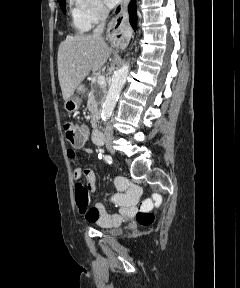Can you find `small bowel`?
Here are the masks:
<instances>
[{"mask_svg": "<svg viewBox=\"0 0 240 288\" xmlns=\"http://www.w3.org/2000/svg\"><path fill=\"white\" fill-rule=\"evenodd\" d=\"M86 139L79 144L73 145V148L68 149L67 156L71 163L76 161V150H84L86 153H92V150L85 149L84 144L88 137L86 128ZM85 177L87 184L77 183L75 185V200L79 213L84 220L89 223H96L102 227L119 226L124 218L131 217L136 210V205L139 198V192L136 187L131 185L127 180L118 178L115 180V186L118 190L112 197V201L119 207L118 214H109L101 203H96L90 206L89 194L96 189V176L91 169H82L75 167L73 170V178L75 180Z\"/></svg>", "mask_w": 240, "mask_h": 288, "instance_id": "c3829d8e", "label": "small bowel"}]
</instances>
